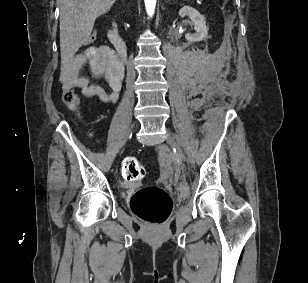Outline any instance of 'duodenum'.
I'll return each mask as SVG.
<instances>
[{
    "label": "duodenum",
    "mask_w": 308,
    "mask_h": 283,
    "mask_svg": "<svg viewBox=\"0 0 308 283\" xmlns=\"http://www.w3.org/2000/svg\"><path fill=\"white\" fill-rule=\"evenodd\" d=\"M108 37L117 52L118 55L117 57L120 62V66L123 69V63L125 62L127 57L126 42L122 38V36L112 27L108 29Z\"/></svg>",
    "instance_id": "duodenum-1"
}]
</instances>
